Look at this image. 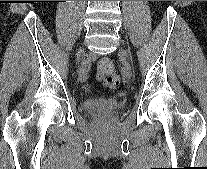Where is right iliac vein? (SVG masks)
Here are the masks:
<instances>
[{"label":"right iliac vein","mask_w":207,"mask_h":169,"mask_svg":"<svg viewBox=\"0 0 207 169\" xmlns=\"http://www.w3.org/2000/svg\"><path fill=\"white\" fill-rule=\"evenodd\" d=\"M83 53H84V48H80L79 50H78V52H77V59L79 60L80 59V57L83 55ZM86 73L87 72H84V73H80V75H79V77H80V79L81 80H85L86 79Z\"/></svg>","instance_id":"right-iliac-vein-1"}]
</instances>
